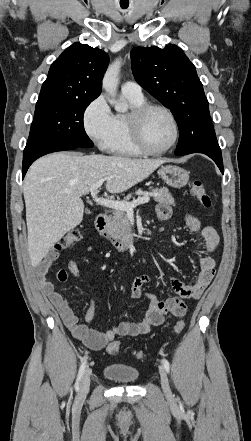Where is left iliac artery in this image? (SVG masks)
Listing matches in <instances>:
<instances>
[{
    "label": "left iliac artery",
    "instance_id": "obj_1",
    "mask_svg": "<svg viewBox=\"0 0 251 441\" xmlns=\"http://www.w3.org/2000/svg\"><path fill=\"white\" fill-rule=\"evenodd\" d=\"M162 363H163V366H164L165 370L169 373V371H170V364H169L168 360L163 358Z\"/></svg>",
    "mask_w": 251,
    "mask_h": 441
}]
</instances>
